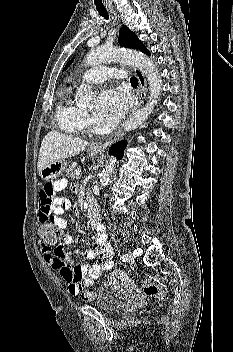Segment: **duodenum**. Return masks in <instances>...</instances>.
<instances>
[{"label":"duodenum","mask_w":233,"mask_h":352,"mask_svg":"<svg viewBox=\"0 0 233 352\" xmlns=\"http://www.w3.org/2000/svg\"><path fill=\"white\" fill-rule=\"evenodd\" d=\"M88 217L92 220L95 221L96 216H97V209L93 203H91L88 207L87 210Z\"/></svg>","instance_id":"duodenum-1"}]
</instances>
